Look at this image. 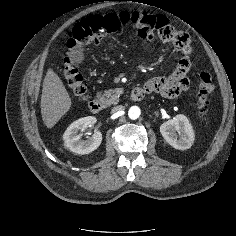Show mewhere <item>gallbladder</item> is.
<instances>
[{"instance_id": "bac80fb5", "label": "gallbladder", "mask_w": 236, "mask_h": 236, "mask_svg": "<svg viewBox=\"0 0 236 236\" xmlns=\"http://www.w3.org/2000/svg\"><path fill=\"white\" fill-rule=\"evenodd\" d=\"M70 58L74 64H79L83 61L84 55L81 50L73 49L70 53Z\"/></svg>"}]
</instances>
